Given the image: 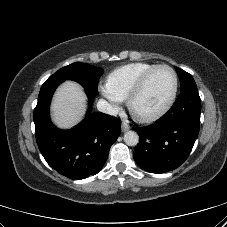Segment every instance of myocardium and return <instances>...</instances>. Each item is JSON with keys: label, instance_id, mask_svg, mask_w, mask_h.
I'll use <instances>...</instances> for the list:
<instances>
[{"label": "myocardium", "instance_id": "myocardium-1", "mask_svg": "<svg viewBox=\"0 0 227 227\" xmlns=\"http://www.w3.org/2000/svg\"><path fill=\"white\" fill-rule=\"evenodd\" d=\"M162 68L169 69L173 73V76H174V86H173V90L171 92L169 99L167 100V102L164 104V106L162 108H160L158 111H156L152 114H149V115L138 114L134 109V102H135L136 98L143 91V89L146 86L150 77L157 70L162 69ZM178 88H179V77H178L176 70L167 64L156 65L155 67L151 68L150 70H148L146 73H144L140 77V79L137 81V83L135 84V86L133 87L131 92L129 93L128 98H127L128 109L136 120H138L140 122H144V123L154 122V121L160 119L161 117H163L173 106L176 96H177Z\"/></svg>", "mask_w": 227, "mask_h": 227}]
</instances>
